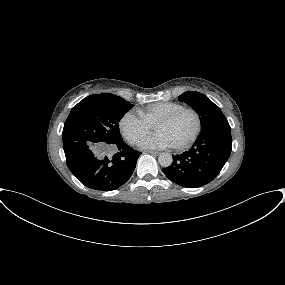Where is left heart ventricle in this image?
<instances>
[{"mask_svg": "<svg viewBox=\"0 0 285 285\" xmlns=\"http://www.w3.org/2000/svg\"><path fill=\"white\" fill-rule=\"evenodd\" d=\"M196 128V119L191 112H184L173 121L160 124L156 132L163 133L171 142L172 146H178L185 142Z\"/></svg>", "mask_w": 285, "mask_h": 285, "instance_id": "left-heart-ventricle-1", "label": "left heart ventricle"}]
</instances>
